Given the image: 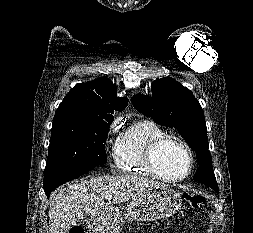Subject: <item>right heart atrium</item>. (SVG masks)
<instances>
[{"mask_svg": "<svg viewBox=\"0 0 253 233\" xmlns=\"http://www.w3.org/2000/svg\"><path fill=\"white\" fill-rule=\"evenodd\" d=\"M112 131H114V126H111V128H110V133H111Z\"/></svg>", "mask_w": 253, "mask_h": 233, "instance_id": "obj_1", "label": "right heart atrium"}]
</instances>
